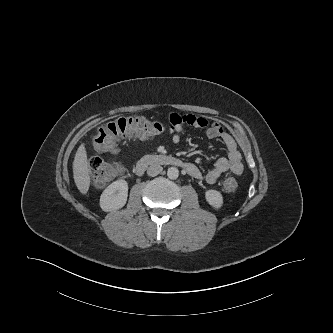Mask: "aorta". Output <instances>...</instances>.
<instances>
[{
    "mask_svg": "<svg viewBox=\"0 0 333 333\" xmlns=\"http://www.w3.org/2000/svg\"><path fill=\"white\" fill-rule=\"evenodd\" d=\"M167 176L169 179H177L179 176V170L176 167H170L167 171Z\"/></svg>",
    "mask_w": 333,
    "mask_h": 333,
    "instance_id": "obj_1",
    "label": "aorta"
}]
</instances>
